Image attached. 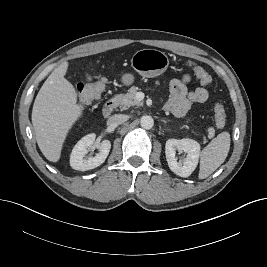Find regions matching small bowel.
I'll use <instances>...</instances> for the list:
<instances>
[{
  "mask_svg": "<svg viewBox=\"0 0 267 267\" xmlns=\"http://www.w3.org/2000/svg\"><path fill=\"white\" fill-rule=\"evenodd\" d=\"M190 80L189 75H184L170 83V96L166 109L176 117H184L194 103H204L208 100L209 93L204 87L188 91L187 85Z\"/></svg>",
  "mask_w": 267,
  "mask_h": 267,
  "instance_id": "1",
  "label": "small bowel"
}]
</instances>
